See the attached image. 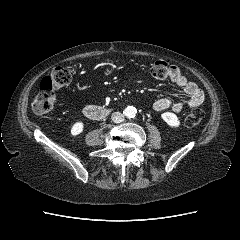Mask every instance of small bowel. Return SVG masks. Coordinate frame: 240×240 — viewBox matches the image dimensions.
I'll list each match as a JSON object with an SVG mask.
<instances>
[{
	"instance_id": "1",
	"label": "small bowel",
	"mask_w": 240,
	"mask_h": 240,
	"mask_svg": "<svg viewBox=\"0 0 240 240\" xmlns=\"http://www.w3.org/2000/svg\"><path fill=\"white\" fill-rule=\"evenodd\" d=\"M168 77L172 83L184 90L187 97L178 101H173L170 98L158 99L152 105L154 111L161 112L170 109L179 113L184 108H196L204 102V92L195 83L189 81L178 67L170 66Z\"/></svg>"
}]
</instances>
